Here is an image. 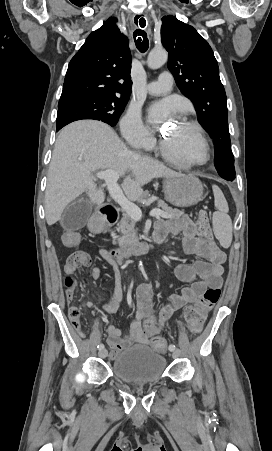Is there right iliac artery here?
<instances>
[{
  "label": "right iliac artery",
  "mask_w": 272,
  "mask_h": 451,
  "mask_svg": "<svg viewBox=\"0 0 272 451\" xmlns=\"http://www.w3.org/2000/svg\"><path fill=\"white\" fill-rule=\"evenodd\" d=\"M97 348H98L99 350L103 349V348H104V344L100 343V344L97 346Z\"/></svg>",
  "instance_id": "82829eb1"
}]
</instances>
